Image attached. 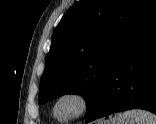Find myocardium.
<instances>
[{"instance_id": "obj_1", "label": "myocardium", "mask_w": 156, "mask_h": 124, "mask_svg": "<svg viewBox=\"0 0 156 124\" xmlns=\"http://www.w3.org/2000/svg\"><path fill=\"white\" fill-rule=\"evenodd\" d=\"M69 96L76 97L80 101L81 108L76 114L72 116H59L56 112L57 104L63 98L69 97ZM92 105H93V99L88 92L79 88H71V89L62 91L53 99L52 104H51V112L54 117L62 121L70 122V121L79 120L83 118L84 116H86L87 114H89L92 109Z\"/></svg>"}]
</instances>
